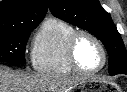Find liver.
<instances>
[{"mask_svg": "<svg viewBox=\"0 0 127 92\" xmlns=\"http://www.w3.org/2000/svg\"><path fill=\"white\" fill-rule=\"evenodd\" d=\"M84 77L27 75L0 66V92H70Z\"/></svg>", "mask_w": 127, "mask_h": 92, "instance_id": "6515ba94", "label": "liver"}]
</instances>
